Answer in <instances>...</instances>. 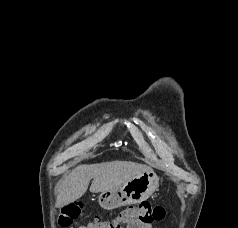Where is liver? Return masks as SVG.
Here are the masks:
<instances>
[{"label": "liver", "instance_id": "obj_1", "mask_svg": "<svg viewBox=\"0 0 238 228\" xmlns=\"http://www.w3.org/2000/svg\"><path fill=\"white\" fill-rule=\"evenodd\" d=\"M152 170L150 167L130 161H111L91 165H79L72 170L57 190V206L68 205L82 197L88 189L98 193L116 189L135 176Z\"/></svg>", "mask_w": 238, "mask_h": 228}]
</instances>
